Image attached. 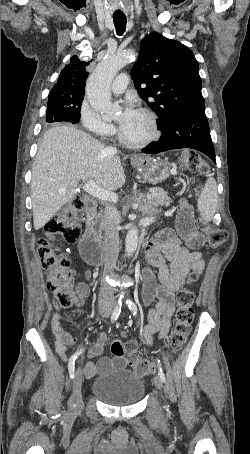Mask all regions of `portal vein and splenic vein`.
<instances>
[{
    "mask_svg": "<svg viewBox=\"0 0 250 454\" xmlns=\"http://www.w3.org/2000/svg\"><path fill=\"white\" fill-rule=\"evenodd\" d=\"M83 190L89 195L98 198L99 200L106 202L116 203L118 201V195L112 191H106L99 186L93 180H89L87 183H84Z\"/></svg>",
    "mask_w": 250,
    "mask_h": 454,
    "instance_id": "18ae733b",
    "label": "portal vein and splenic vein"
}]
</instances>
